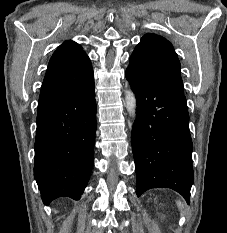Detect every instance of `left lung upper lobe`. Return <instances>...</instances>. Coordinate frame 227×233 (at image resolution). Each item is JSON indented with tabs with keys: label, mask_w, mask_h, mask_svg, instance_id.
I'll list each match as a JSON object with an SVG mask.
<instances>
[{
	"label": "left lung upper lobe",
	"mask_w": 227,
	"mask_h": 233,
	"mask_svg": "<svg viewBox=\"0 0 227 233\" xmlns=\"http://www.w3.org/2000/svg\"><path fill=\"white\" fill-rule=\"evenodd\" d=\"M127 70L154 84L183 93L179 59L172 44L159 35L146 34L141 38Z\"/></svg>",
	"instance_id": "1"
}]
</instances>
